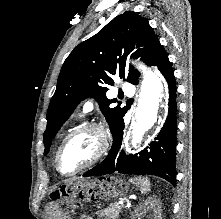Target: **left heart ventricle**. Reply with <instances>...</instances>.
Returning a JSON list of instances; mask_svg holds the SVG:
<instances>
[{"instance_id":"1","label":"left heart ventricle","mask_w":221,"mask_h":219,"mask_svg":"<svg viewBox=\"0 0 221 219\" xmlns=\"http://www.w3.org/2000/svg\"><path fill=\"white\" fill-rule=\"evenodd\" d=\"M99 137L94 131H87L73 137L63 148L59 167L64 173H72L86 165L96 154Z\"/></svg>"}]
</instances>
